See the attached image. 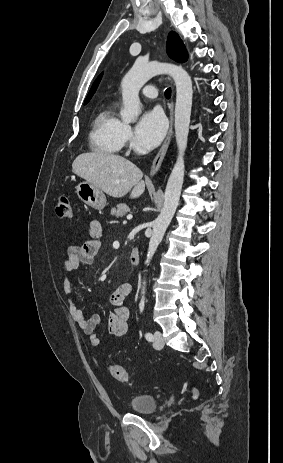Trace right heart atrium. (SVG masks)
<instances>
[{"label":"right heart atrium","mask_w":283,"mask_h":463,"mask_svg":"<svg viewBox=\"0 0 283 463\" xmlns=\"http://www.w3.org/2000/svg\"><path fill=\"white\" fill-rule=\"evenodd\" d=\"M131 136H132V133H131V128L129 125L125 124L124 127H123V130H122V138H123V142L126 144V143H129L130 140H131Z\"/></svg>","instance_id":"right-heart-atrium-1"}]
</instances>
